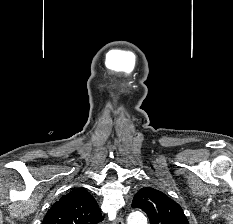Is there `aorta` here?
I'll use <instances>...</instances> for the list:
<instances>
[{
    "mask_svg": "<svg viewBox=\"0 0 233 224\" xmlns=\"http://www.w3.org/2000/svg\"><path fill=\"white\" fill-rule=\"evenodd\" d=\"M127 224H147V220L141 212H133L128 216Z\"/></svg>",
    "mask_w": 233,
    "mask_h": 224,
    "instance_id": "obj_1",
    "label": "aorta"
}]
</instances>
